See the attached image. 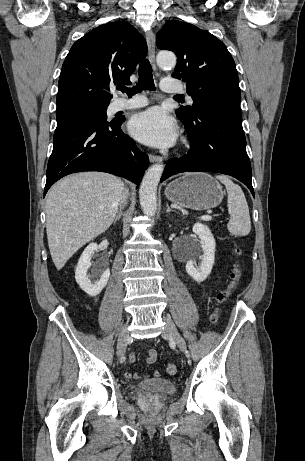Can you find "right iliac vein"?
<instances>
[{"label": "right iliac vein", "mask_w": 305, "mask_h": 461, "mask_svg": "<svg viewBox=\"0 0 305 461\" xmlns=\"http://www.w3.org/2000/svg\"><path fill=\"white\" fill-rule=\"evenodd\" d=\"M128 339H129L128 327H127V325H124L120 329V332H119L118 347H117V355L121 360L124 359Z\"/></svg>", "instance_id": "63e3f726"}]
</instances>
